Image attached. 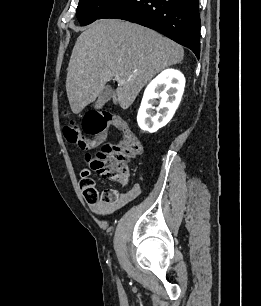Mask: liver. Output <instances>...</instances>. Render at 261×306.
<instances>
[{
    "instance_id": "6515ba94",
    "label": "liver",
    "mask_w": 261,
    "mask_h": 306,
    "mask_svg": "<svg viewBox=\"0 0 261 306\" xmlns=\"http://www.w3.org/2000/svg\"><path fill=\"white\" fill-rule=\"evenodd\" d=\"M181 45L156 31L120 19H103L85 29L74 45L66 77L71 110L80 113L116 75L113 103L128 109L141 89L163 69L180 63Z\"/></svg>"
}]
</instances>
